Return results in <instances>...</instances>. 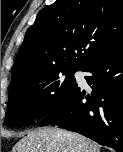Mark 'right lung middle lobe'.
I'll use <instances>...</instances> for the list:
<instances>
[{"mask_svg": "<svg viewBox=\"0 0 123 152\" xmlns=\"http://www.w3.org/2000/svg\"><path fill=\"white\" fill-rule=\"evenodd\" d=\"M78 70L49 71L21 81L9 91L5 124H25L59 110L78 87L73 75Z\"/></svg>", "mask_w": 123, "mask_h": 152, "instance_id": "right-lung-middle-lobe-1", "label": "right lung middle lobe"}]
</instances>
